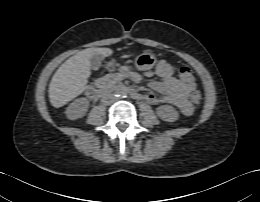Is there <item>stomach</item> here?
I'll use <instances>...</instances> for the list:
<instances>
[{
  "label": "stomach",
  "instance_id": "0dacf381",
  "mask_svg": "<svg viewBox=\"0 0 260 202\" xmlns=\"http://www.w3.org/2000/svg\"><path fill=\"white\" fill-rule=\"evenodd\" d=\"M156 64V57L151 53H143L135 59V66L138 70L146 71L152 69ZM124 70L126 68L124 67Z\"/></svg>",
  "mask_w": 260,
  "mask_h": 202
}]
</instances>
